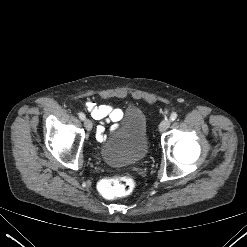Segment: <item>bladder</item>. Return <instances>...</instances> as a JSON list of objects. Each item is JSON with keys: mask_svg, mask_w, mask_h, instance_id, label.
I'll list each match as a JSON object with an SVG mask.
<instances>
[{"mask_svg": "<svg viewBox=\"0 0 247 247\" xmlns=\"http://www.w3.org/2000/svg\"><path fill=\"white\" fill-rule=\"evenodd\" d=\"M149 150L147 118L142 110L129 107L122 123L100 148L103 161L114 167L142 161Z\"/></svg>", "mask_w": 247, "mask_h": 247, "instance_id": "1", "label": "bladder"}]
</instances>
